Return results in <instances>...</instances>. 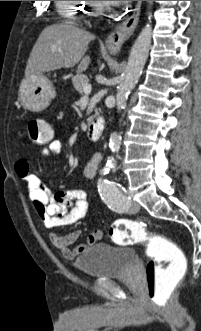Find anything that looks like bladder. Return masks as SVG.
<instances>
[{
    "instance_id": "bladder-1",
    "label": "bladder",
    "mask_w": 201,
    "mask_h": 331,
    "mask_svg": "<svg viewBox=\"0 0 201 331\" xmlns=\"http://www.w3.org/2000/svg\"><path fill=\"white\" fill-rule=\"evenodd\" d=\"M136 256L130 247L96 243L78 256L74 265L88 278L113 279L126 276Z\"/></svg>"
}]
</instances>
